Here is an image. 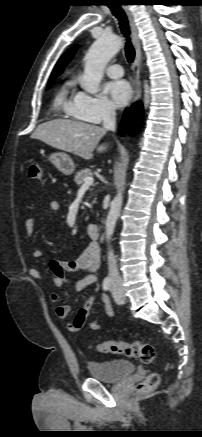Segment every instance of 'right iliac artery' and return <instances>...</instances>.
Segmentation results:
<instances>
[{
    "instance_id": "82829eb1",
    "label": "right iliac artery",
    "mask_w": 202,
    "mask_h": 437,
    "mask_svg": "<svg viewBox=\"0 0 202 437\" xmlns=\"http://www.w3.org/2000/svg\"><path fill=\"white\" fill-rule=\"evenodd\" d=\"M112 281L110 278H105L102 283L103 290L107 291L111 288Z\"/></svg>"
}]
</instances>
